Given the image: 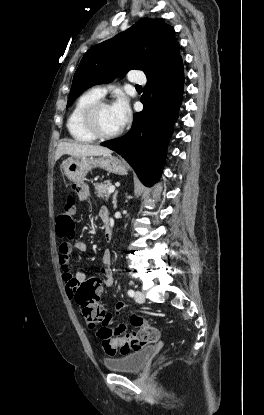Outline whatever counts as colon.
Listing matches in <instances>:
<instances>
[{"label":"colon","mask_w":264,"mask_h":415,"mask_svg":"<svg viewBox=\"0 0 264 415\" xmlns=\"http://www.w3.org/2000/svg\"><path fill=\"white\" fill-rule=\"evenodd\" d=\"M75 201L69 198L64 208L59 212L56 224L57 236L62 240L70 241L75 235ZM100 289L96 280L90 279L82 283L76 294V303L81 310L90 330L95 331L102 340V347L106 354L115 355L117 352L127 354L135 352L159 339V331L143 322L140 315L132 318V324L137 331L123 336L112 337L105 326L107 315L99 304ZM161 357L160 359H162Z\"/></svg>","instance_id":"obj_1"}]
</instances>
